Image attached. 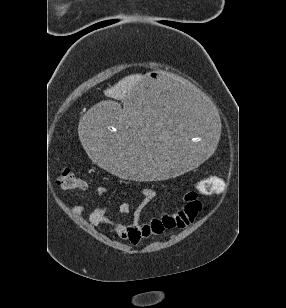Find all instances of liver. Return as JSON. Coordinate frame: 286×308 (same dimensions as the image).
Wrapping results in <instances>:
<instances>
[{"label":"liver","mask_w":286,"mask_h":308,"mask_svg":"<svg viewBox=\"0 0 286 308\" xmlns=\"http://www.w3.org/2000/svg\"><path fill=\"white\" fill-rule=\"evenodd\" d=\"M142 75L134 74L127 76L116 83L113 87L108 88L104 91L105 95L111 97L113 99L121 100L124 99L125 107H126V98L129 92L136 86V84L141 79ZM118 113L121 122H126L127 118V111H121L120 107H118ZM100 113H98L99 115Z\"/></svg>","instance_id":"liver-1"}]
</instances>
